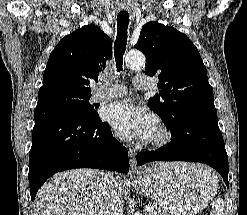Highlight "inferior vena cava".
Listing matches in <instances>:
<instances>
[{
	"label": "inferior vena cava",
	"instance_id": "inferior-vena-cava-1",
	"mask_svg": "<svg viewBox=\"0 0 247 215\" xmlns=\"http://www.w3.org/2000/svg\"><path fill=\"white\" fill-rule=\"evenodd\" d=\"M104 182L107 185L104 215H123L121 204V188L111 173H105Z\"/></svg>",
	"mask_w": 247,
	"mask_h": 215
}]
</instances>
